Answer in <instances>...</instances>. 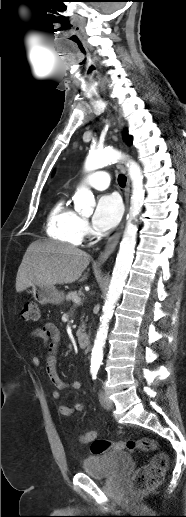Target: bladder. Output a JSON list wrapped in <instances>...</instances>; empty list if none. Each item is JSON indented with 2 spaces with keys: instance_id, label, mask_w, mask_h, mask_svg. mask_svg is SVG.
I'll use <instances>...</instances> for the list:
<instances>
[{
  "instance_id": "1",
  "label": "bladder",
  "mask_w": 186,
  "mask_h": 517,
  "mask_svg": "<svg viewBox=\"0 0 186 517\" xmlns=\"http://www.w3.org/2000/svg\"><path fill=\"white\" fill-rule=\"evenodd\" d=\"M132 456L124 451H110L94 455L82 463L83 472L97 479H109L121 475L131 464Z\"/></svg>"
}]
</instances>
